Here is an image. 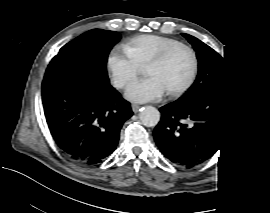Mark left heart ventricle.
<instances>
[{"label":"left heart ventricle","mask_w":270,"mask_h":213,"mask_svg":"<svg viewBox=\"0 0 270 213\" xmlns=\"http://www.w3.org/2000/svg\"><path fill=\"white\" fill-rule=\"evenodd\" d=\"M191 67V55L185 50H178L159 65L150 67L149 75L158 78L167 90H173L188 79Z\"/></svg>","instance_id":"left-heart-ventricle-1"}]
</instances>
